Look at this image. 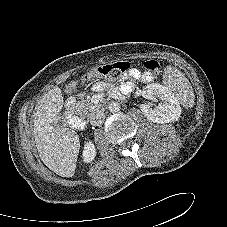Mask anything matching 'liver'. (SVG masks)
Returning <instances> with one entry per match:
<instances>
[{
  "label": "liver",
  "mask_w": 227,
  "mask_h": 227,
  "mask_svg": "<svg viewBox=\"0 0 227 227\" xmlns=\"http://www.w3.org/2000/svg\"><path fill=\"white\" fill-rule=\"evenodd\" d=\"M77 85L78 81H71L66 85L65 92L75 91ZM63 104L58 86L44 94L34 113L33 134L42 162L56 174L72 177L80 149L79 136L72 129L53 126L59 119Z\"/></svg>",
  "instance_id": "liver-1"
}]
</instances>
